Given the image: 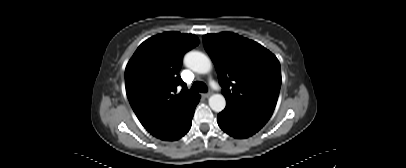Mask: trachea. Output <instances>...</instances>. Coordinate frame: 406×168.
<instances>
[{
	"mask_svg": "<svg viewBox=\"0 0 406 168\" xmlns=\"http://www.w3.org/2000/svg\"><path fill=\"white\" fill-rule=\"evenodd\" d=\"M191 90L193 92L205 93V92H207L208 89H207V86H206L205 83L196 81V82L193 83Z\"/></svg>",
	"mask_w": 406,
	"mask_h": 168,
	"instance_id": "1",
	"label": "trachea"
}]
</instances>
